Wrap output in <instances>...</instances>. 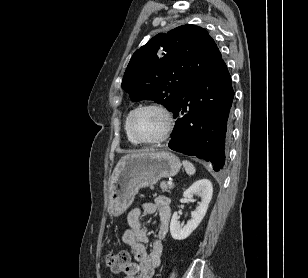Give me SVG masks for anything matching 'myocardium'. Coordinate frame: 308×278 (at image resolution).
Wrapping results in <instances>:
<instances>
[{
    "instance_id": "f54148a6",
    "label": "myocardium",
    "mask_w": 308,
    "mask_h": 278,
    "mask_svg": "<svg viewBox=\"0 0 308 278\" xmlns=\"http://www.w3.org/2000/svg\"><path fill=\"white\" fill-rule=\"evenodd\" d=\"M156 109L158 111H160L164 117H165V121H166V126H165V130L162 133L161 136H159L158 138L155 139H143L141 137H139L138 135H136V133L133 130L132 127V120L133 117L135 116V114L137 112H139L140 110L143 109ZM173 126H174V122H173V118L172 115L170 113V111L163 105L159 104V103H146V104H142L139 105L138 107H136L135 109H133L127 118V129L129 134L131 135V137L140 144H158L161 143L163 141H165L171 134L172 130H173Z\"/></svg>"
}]
</instances>
